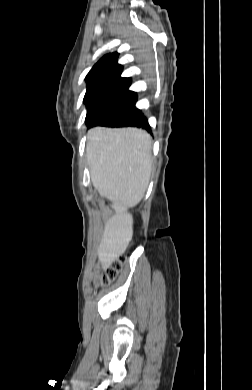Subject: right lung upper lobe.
Wrapping results in <instances>:
<instances>
[{
	"instance_id": "obj_1",
	"label": "right lung upper lobe",
	"mask_w": 252,
	"mask_h": 390,
	"mask_svg": "<svg viewBox=\"0 0 252 390\" xmlns=\"http://www.w3.org/2000/svg\"><path fill=\"white\" fill-rule=\"evenodd\" d=\"M118 53L101 58L86 76L87 91L84 103L99 101H136L137 95L128 91L130 78L120 77L122 66L117 64Z\"/></svg>"
}]
</instances>
